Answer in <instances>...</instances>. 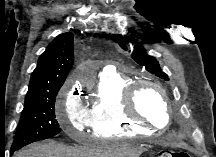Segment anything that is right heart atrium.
<instances>
[{
    "instance_id": "right-heart-atrium-1",
    "label": "right heart atrium",
    "mask_w": 216,
    "mask_h": 157,
    "mask_svg": "<svg viewBox=\"0 0 216 157\" xmlns=\"http://www.w3.org/2000/svg\"><path fill=\"white\" fill-rule=\"evenodd\" d=\"M62 92L65 99L58 122L67 134L75 136L90 126L89 111L82 105L71 82L65 85Z\"/></svg>"
}]
</instances>
